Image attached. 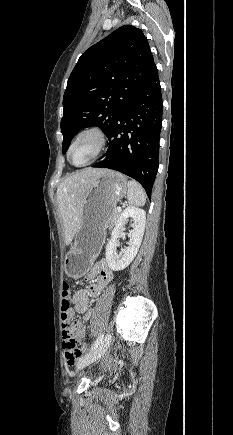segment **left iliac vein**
Wrapping results in <instances>:
<instances>
[{"instance_id":"left-iliac-vein-1","label":"left iliac vein","mask_w":233,"mask_h":435,"mask_svg":"<svg viewBox=\"0 0 233 435\" xmlns=\"http://www.w3.org/2000/svg\"><path fill=\"white\" fill-rule=\"evenodd\" d=\"M111 334H107L102 343L94 349L91 353L85 355L82 357L77 364V370L83 369L87 365L97 361L99 358H101L104 353L106 352L110 341H111Z\"/></svg>"}]
</instances>
